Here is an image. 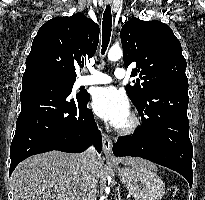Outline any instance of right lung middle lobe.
Here are the masks:
<instances>
[{
  "label": "right lung middle lobe",
  "instance_id": "obj_1",
  "mask_svg": "<svg viewBox=\"0 0 205 200\" xmlns=\"http://www.w3.org/2000/svg\"><path fill=\"white\" fill-rule=\"evenodd\" d=\"M56 79L61 80L63 83H65L66 85H68L69 87H73L75 80L74 79H68L65 77H61V76H55V75H47Z\"/></svg>",
  "mask_w": 205,
  "mask_h": 200
}]
</instances>
